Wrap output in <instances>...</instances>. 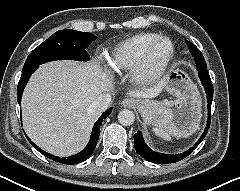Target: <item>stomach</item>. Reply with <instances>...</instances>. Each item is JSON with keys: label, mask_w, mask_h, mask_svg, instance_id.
<instances>
[{"label": "stomach", "mask_w": 240, "mask_h": 191, "mask_svg": "<svg viewBox=\"0 0 240 191\" xmlns=\"http://www.w3.org/2000/svg\"><path fill=\"white\" fill-rule=\"evenodd\" d=\"M164 88L176 100H137V109L143 119L151 123L160 111L165 110L179 130L197 128L201 118V97L189 76L181 69L172 68L164 78Z\"/></svg>", "instance_id": "1"}]
</instances>
